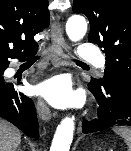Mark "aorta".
Listing matches in <instances>:
<instances>
[{
    "mask_svg": "<svg viewBox=\"0 0 131 151\" xmlns=\"http://www.w3.org/2000/svg\"><path fill=\"white\" fill-rule=\"evenodd\" d=\"M87 31V23L82 16H71L66 23V32L70 40H81ZM75 129L74 117L64 118L58 125L50 151H69Z\"/></svg>",
    "mask_w": 131,
    "mask_h": 151,
    "instance_id": "aorta-1",
    "label": "aorta"
}]
</instances>
